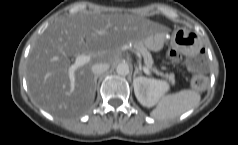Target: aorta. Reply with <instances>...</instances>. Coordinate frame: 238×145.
<instances>
[{
	"mask_svg": "<svg viewBox=\"0 0 238 145\" xmlns=\"http://www.w3.org/2000/svg\"><path fill=\"white\" fill-rule=\"evenodd\" d=\"M118 75L126 76L129 74V65L127 63H119L116 67Z\"/></svg>",
	"mask_w": 238,
	"mask_h": 145,
	"instance_id": "1",
	"label": "aorta"
}]
</instances>
